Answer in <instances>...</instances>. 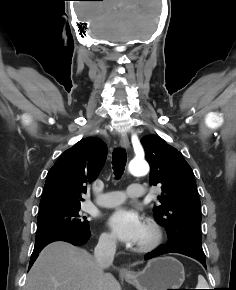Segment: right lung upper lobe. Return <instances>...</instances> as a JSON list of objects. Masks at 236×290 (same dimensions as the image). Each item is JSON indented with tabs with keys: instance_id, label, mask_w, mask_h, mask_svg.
<instances>
[{
	"instance_id": "right-lung-upper-lobe-1",
	"label": "right lung upper lobe",
	"mask_w": 236,
	"mask_h": 290,
	"mask_svg": "<svg viewBox=\"0 0 236 290\" xmlns=\"http://www.w3.org/2000/svg\"><path fill=\"white\" fill-rule=\"evenodd\" d=\"M106 156V145L98 138H84L66 150L47 174L40 209L80 204Z\"/></svg>"
}]
</instances>
